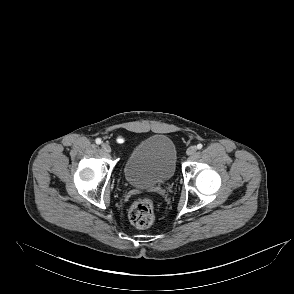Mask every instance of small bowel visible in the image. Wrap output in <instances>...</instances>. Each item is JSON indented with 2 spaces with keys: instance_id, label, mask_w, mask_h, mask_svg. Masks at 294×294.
Segmentation results:
<instances>
[{
  "instance_id": "c3829d8e",
  "label": "small bowel",
  "mask_w": 294,
  "mask_h": 294,
  "mask_svg": "<svg viewBox=\"0 0 294 294\" xmlns=\"http://www.w3.org/2000/svg\"><path fill=\"white\" fill-rule=\"evenodd\" d=\"M117 141H118V142H123V138H122V137H118V138H117Z\"/></svg>"
}]
</instances>
